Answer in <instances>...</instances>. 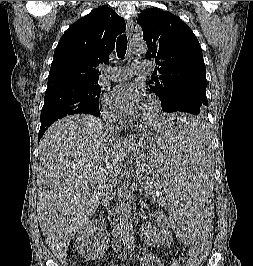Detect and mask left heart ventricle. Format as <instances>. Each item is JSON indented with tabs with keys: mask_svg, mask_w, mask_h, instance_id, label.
Instances as JSON below:
<instances>
[{
	"mask_svg": "<svg viewBox=\"0 0 253 266\" xmlns=\"http://www.w3.org/2000/svg\"><path fill=\"white\" fill-rule=\"evenodd\" d=\"M150 112H151V104L147 99L140 114V118L146 117Z\"/></svg>",
	"mask_w": 253,
	"mask_h": 266,
	"instance_id": "1",
	"label": "left heart ventricle"
}]
</instances>
